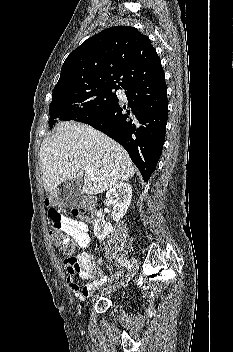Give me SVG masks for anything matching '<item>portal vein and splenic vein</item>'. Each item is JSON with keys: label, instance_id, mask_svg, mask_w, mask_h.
Listing matches in <instances>:
<instances>
[{"label": "portal vein and splenic vein", "instance_id": "portal-vein-and-splenic-vein-1", "mask_svg": "<svg viewBox=\"0 0 233 352\" xmlns=\"http://www.w3.org/2000/svg\"><path fill=\"white\" fill-rule=\"evenodd\" d=\"M85 172L87 175H92L93 174V169L90 166L85 167Z\"/></svg>", "mask_w": 233, "mask_h": 352}]
</instances>
